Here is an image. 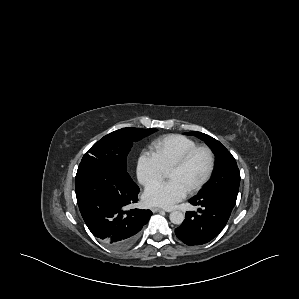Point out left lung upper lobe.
I'll use <instances>...</instances> for the list:
<instances>
[{
	"label": "left lung upper lobe",
	"instance_id": "left-lung-upper-lobe-1",
	"mask_svg": "<svg viewBox=\"0 0 299 299\" xmlns=\"http://www.w3.org/2000/svg\"><path fill=\"white\" fill-rule=\"evenodd\" d=\"M186 134L195 135L204 140L216 156L212 179L198 196L218 193L236 201L240 184V172L232 154L219 141L207 134L197 131L187 132Z\"/></svg>",
	"mask_w": 299,
	"mask_h": 299
}]
</instances>
